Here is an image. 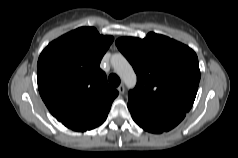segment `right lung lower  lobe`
<instances>
[{"label": "right lung lower lobe", "instance_id": "1", "mask_svg": "<svg viewBox=\"0 0 238 158\" xmlns=\"http://www.w3.org/2000/svg\"><path fill=\"white\" fill-rule=\"evenodd\" d=\"M109 110L79 114L74 116L57 117V120L61 121L62 124L72 130L86 131L101 125L107 118Z\"/></svg>", "mask_w": 238, "mask_h": 158}]
</instances>
